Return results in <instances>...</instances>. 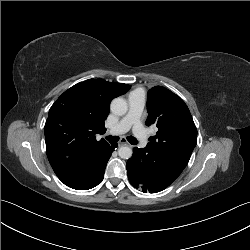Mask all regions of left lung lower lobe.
I'll list each match as a JSON object with an SVG mask.
<instances>
[{
  "label": "left lung lower lobe",
  "mask_w": 250,
  "mask_h": 250,
  "mask_svg": "<svg viewBox=\"0 0 250 250\" xmlns=\"http://www.w3.org/2000/svg\"><path fill=\"white\" fill-rule=\"evenodd\" d=\"M188 162L175 159L171 149L154 150L135 147L127 161V174L131 185L143 192L156 193L169 186L183 171Z\"/></svg>",
  "instance_id": "obj_1"
}]
</instances>
